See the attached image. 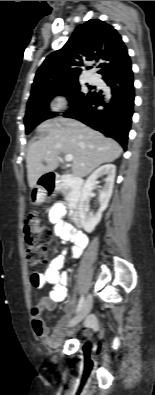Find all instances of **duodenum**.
I'll list each match as a JSON object with an SVG mask.
<instances>
[{"instance_id":"obj_1","label":"duodenum","mask_w":155,"mask_h":395,"mask_svg":"<svg viewBox=\"0 0 155 395\" xmlns=\"http://www.w3.org/2000/svg\"><path fill=\"white\" fill-rule=\"evenodd\" d=\"M42 185L48 192L64 190L71 219L79 224L84 181L80 177L47 173L42 177Z\"/></svg>"}]
</instances>
